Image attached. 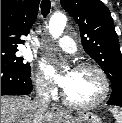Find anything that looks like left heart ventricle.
Returning a JSON list of instances; mask_svg holds the SVG:
<instances>
[{"label": "left heart ventricle", "instance_id": "obj_1", "mask_svg": "<svg viewBox=\"0 0 122 123\" xmlns=\"http://www.w3.org/2000/svg\"><path fill=\"white\" fill-rule=\"evenodd\" d=\"M68 74L69 82L64 90L70 99L77 102H89L102 94L103 82L95 70L73 69Z\"/></svg>", "mask_w": 122, "mask_h": 123}]
</instances>
